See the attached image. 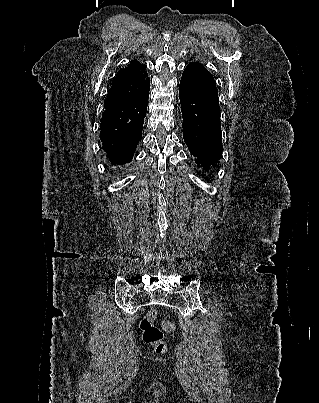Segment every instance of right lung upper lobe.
<instances>
[{"label": "right lung upper lobe", "mask_w": 319, "mask_h": 403, "mask_svg": "<svg viewBox=\"0 0 319 403\" xmlns=\"http://www.w3.org/2000/svg\"><path fill=\"white\" fill-rule=\"evenodd\" d=\"M150 90V79L145 64L134 59L120 68L104 104L105 109L119 106L143 96Z\"/></svg>", "instance_id": "cb5924a9"}]
</instances>
